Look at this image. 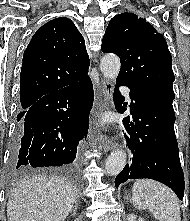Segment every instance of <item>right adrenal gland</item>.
I'll list each match as a JSON object with an SVG mask.
<instances>
[{
    "mask_svg": "<svg viewBox=\"0 0 190 221\" xmlns=\"http://www.w3.org/2000/svg\"><path fill=\"white\" fill-rule=\"evenodd\" d=\"M78 204H79V196L77 197L76 201H75V205L73 206L71 212L73 215H76V211H77V208H78Z\"/></svg>",
    "mask_w": 190,
    "mask_h": 221,
    "instance_id": "obj_1",
    "label": "right adrenal gland"
}]
</instances>
